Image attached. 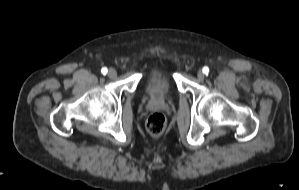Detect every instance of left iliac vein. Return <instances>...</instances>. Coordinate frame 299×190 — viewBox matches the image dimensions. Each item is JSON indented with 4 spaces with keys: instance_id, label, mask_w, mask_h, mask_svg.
Returning a JSON list of instances; mask_svg holds the SVG:
<instances>
[{
    "instance_id": "4c4485c4",
    "label": "left iliac vein",
    "mask_w": 299,
    "mask_h": 190,
    "mask_svg": "<svg viewBox=\"0 0 299 190\" xmlns=\"http://www.w3.org/2000/svg\"><path fill=\"white\" fill-rule=\"evenodd\" d=\"M197 78L200 80V81H203L204 78H205V74L203 71H198L197 73Z\"/></svg>"
}]
</instances>
